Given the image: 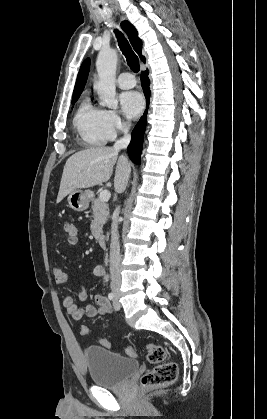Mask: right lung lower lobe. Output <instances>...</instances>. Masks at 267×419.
Returning a JSON list of instances; mask_svg holds the SVG:
<instances>
[{"mask_svg": "<svg viewBox=\"0 0 267 419\" xmlns=\"http://www.w3.org/2000/svg\"><path fill=\"white\" fill-rule=\"evenodd\" d=\"M149 78H148V71H144L141 75V85L143 87L145 97H146V110L143 116L140 118L136 126L132 131V139L128 146V154L130 159L135 164H140V155L142 152V145H143V135L146 129V116L149 106V98H150V88H149Z\"/></svg>", "mask_w": 267, "mask_h": 419, "instance_id": "obj_1", "label": "right lung lower lobe"}]
</instances>
